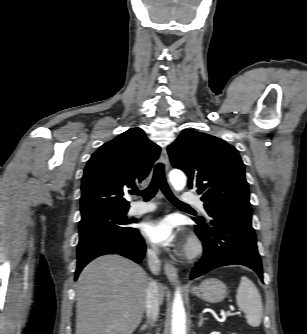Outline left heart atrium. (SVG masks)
<instances>
[{
    "label": "left heart atrium",
    "instance_id": "1",
    "mask_svg": "<svg viewBox=\"0 0 307 334\" xmlns=\"http://www.w3.org/2000/svg\"><path fill=\"white\" fill-rule=\"evenodd\" d=\"M145 237L154 245L168 246L176 240V226L170 217L148 221L143 227Z\"/></svg>",
    "mask_w": 307,
    "mask_h": 334
}]
</instances>
